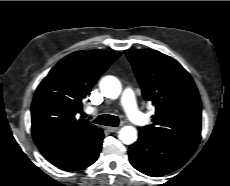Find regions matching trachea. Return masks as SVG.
<instances>
[{
	"label": "trachea",
	"instance_id": "1",
	"mask_svg": "<svg viewBox=\"0 0 230 186\" xmlns=\"http://www.w3.org/2000/svg\"><path fill=\"white\" fill-rule=\"evenodd\" d=\"M93 122L100 125L116 127L119 124V119L114 115L103 114L98 116Z\"/></svg>",
	"mask_w": 230,
	"mask_h": 186
}]
</instances>
